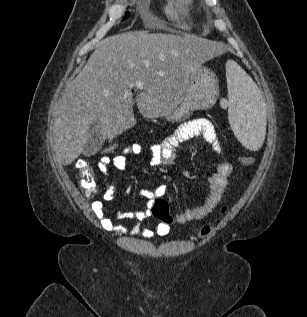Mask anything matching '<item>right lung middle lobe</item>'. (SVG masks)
Instances as JSON below:
<instances>
[{"mask_svg":"<svg viewBox=\"0 0 307 317\" xmlns=\"http://www.w3.org/2000/svg\"><path fill=\"white\" fill-rule=\"evenodd\" d=\"M128 16H129V13L126 14V17H128Z\"/></svg>","mask_w":307,"mask_h":317,"instance_id":"obj_1","label":"right lung middle lobe"}]
</instances>
